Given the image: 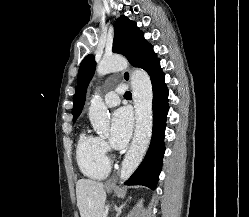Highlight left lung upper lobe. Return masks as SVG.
I'll list each match as a JSON object with an SVG mask.
<instances>
[{
  "label": "left lung upper lobe",
  "instance_id": "5c2ea615",
  "mask_svg": "<svg viewBox=\"0 0 249 217\" xmlns=\"http://www.w3.org/2000/svg\"><path fill=\"white\" fill-rule=\"evenodd\" d=\"M113 52L124 55L133 66L140 67L147 73L159 63L152 46L144 40L143 33L136 23L125 16H121L115 22ZM95 67L94 55H87L80 64L76 90L79 112L83 108L87 87L94 75Z\"/></svg>",
  "mask_w": 249,
  "mask_h": 217
}]
</instances>
